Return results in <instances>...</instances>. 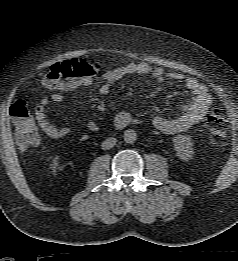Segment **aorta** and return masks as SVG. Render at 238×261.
Returning <instances> with one entry per match:
<instances>
[{
	"label": "aorta",
	"instance_id": "762f6f07",
	"mask_svg": "<svg viewBox=\"0 0 238 261\" xmlns=\"http://www.w3.org/2000/svg\"><path fill=\"white\" fill-rule=\"evenodd\" d=\"M137 140V133L133 129H128L124 132V141L126 143H133Z\"/></svg>",
	"mask_w": 238,
	"mask_h": 261
}]
</instances>
